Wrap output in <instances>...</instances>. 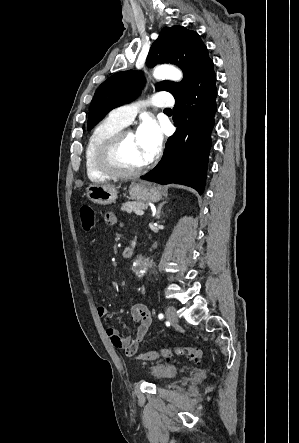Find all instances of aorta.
Listing matches in <instances>:
<instances>
[{
	"mask_svg": "<svg viewBox=\"0 0 299 443\" xmlns=\"http://www.w3.org/2000/svg\"><path fill=\"white\" fill-rule=\"evenodd\" d=\"M153 76L158 80L170 79L173 81H180L183 77L182 72L179 69L170 65L157 67L153 72Z\"/></svg>",
	"mask_w": 299,
	"mask_h": 443,
	"instance_id": "obj_1",
	"label": "aorta"
}]
</instances>
